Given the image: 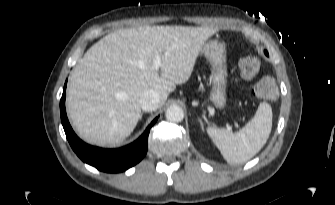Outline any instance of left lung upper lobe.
<instances>
[{
  "mask_svg": "<svg viewBox=\"0 0 335 205\" xmlns=\"http://www.w3.org/2000/svg\"><path fill=\"white\" fill-rule=\"evenodd\" d=\"M264 53H265L266 55H268V52H267V51H264Z\"/></svg>",
  "mask_w": 335,
  "mask_h": 205,
  "instance_id": "5c2ea615",
  "label": "left lung upper lobe"
}]
</instances>
